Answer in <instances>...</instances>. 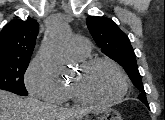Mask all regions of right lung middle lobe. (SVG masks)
Returning <instances> with one entry per match:
<instances>
[{"label": "right lung middle lobe", "mask_w": 165, "mask_h": 120, "mask_svg": "<svg viewBox=\"0 0 165 120\" xmlns=\"http://www.w3.org/2000/svg\"><path fill=\"white\" fill-rule=\"evenodd\" d=\"M30 59L0 58V89L18 95H28L24 85V73Z\"/></svg>", "instance_id": "1"}]
</instances>
